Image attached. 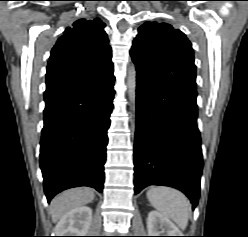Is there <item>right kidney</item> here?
<instances>
[{
    "label": "right kidney",
    "instance_id": "ca27d5eb",
    "mask_svg": "<svg viewBox=\"0 0 248 237\" xmlns=\"http://www.w3.org/2000/svg\"><path fill=\"white\" fill-rule=\"evenodd\" d=\"M92 221V209L80 206L67 212L56 226L57 236H86Z\"/></svg>",
    "mask_w": 248,
    "mask_h": 237
}]
</instances>
